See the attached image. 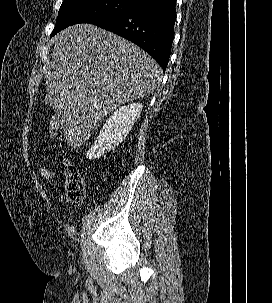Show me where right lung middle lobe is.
<instances>
[{
    "label": "right lung middle lobe",
    "mask_w": 272,
    "mask_h": 303,
    "mask_svg": "<svg viewBox=\"0 0 272 303\" xmlns=\"http://www.w3.org/2000/svg\"><path fill=\"white\" fill-rule=\"evenodd\" d=\"M133 0H64L51 34L77 23H94L98 20L134 9Z\"/></svg>",
    "instance_id": "right-lung-middle-lobe-1"
}]
</instances>
